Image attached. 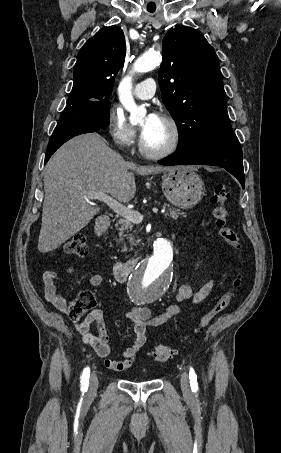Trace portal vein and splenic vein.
Returning a JSON list of instances; mask_svg holds the SVG:
<instances>
[{"label":"portal vein and splenic vein","mask_w":281,"mask_h":453,"mask_svg":"<svg viewBox=\"0 0 281 453\" xmlns=\"http://www.w3.org/2000/svg\"><path fill=\"white\" fill-rule=\"evenodd\" d=\"M85 198H96V200H103V202H106L114 212H117V214H120V216H123V218H126V220H131V222H141L143 220V214H140L138 210H132V208H127V206H124V204H121V202H118V200H115V198H112V196H109V194H106V192H95V190H88L86 192ZM152 214H156L158 212V208H152Z\"/></svg>","instance_id":"obj_1"}]
</instances>
